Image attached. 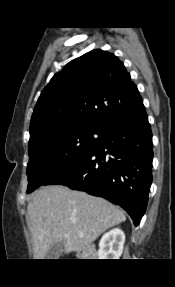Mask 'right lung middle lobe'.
Returning a JSON list of instances; mask_svg holds the SVG:
<instances>
[{
	"label": "right lung middle lobe",
	"instance_id": "1",
	"mask_svg": "<svg viewBox=\"0 0 175 287\" xmlns=\"http://www.w3.org/2000/svg\"><path fill=\"white\" fill-rule=\"evenodd\" d=\"M102 126L80 125L29 144L27 193L45 185L85 158L98 144Z\"/></svg>",
	"mask_w": 175,
	"mask_h": 287
}]
</instances>
